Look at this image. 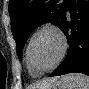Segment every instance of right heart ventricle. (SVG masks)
<instances>
[{"mask_svg":"<svg viewBox=\"0 0 89 89\" xmlns=\"http://www.w3.org/2000/svg\"><path fill=\"white\" fill-rule=\"evenodd\" d=\"M29 70V69H28ZM30 74L33 75V76H36L35 74H33L30 70H29Z\"/></svg>","mask_w":89,"mask_h":89,"instance_id":"obj_1","label":"right heart ventricle"}]
</instances>
